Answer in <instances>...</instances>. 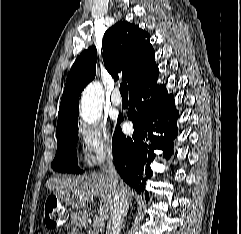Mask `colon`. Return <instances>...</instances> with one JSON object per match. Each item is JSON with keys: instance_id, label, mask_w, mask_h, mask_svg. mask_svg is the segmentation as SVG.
I'll list each match as a JSON object with an SVG mask.
<instances>
[{"instance_id": "1", "label": "colon", "mask_w": 241, "mask_h": 234, "mask_svg": "<svg viewBox=\"0 0 241 234\" xmlns=\"http://www.w3.org/2000/svg\"><path fill=\"white\" fill-rule=\"evenodd\" d=\"M66 220V210L57 201L56 197L49 196L44 205V222L48 229H56L64 224Z\"/></svg>"}]
</instances>
